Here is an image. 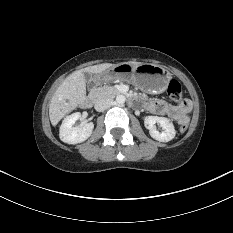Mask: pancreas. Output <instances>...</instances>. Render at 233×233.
<instances>
[{
  "mask_svg": "<svg viewBox=\"0 0 233 233\" xmlns=\"http://www.w3.org/2000/svg\"><path fill=\"white\" fill-rule=\"evenodd\" d=\"M118 94L119 91L117 90V88L110 85H104L91 91V95L96 99L114 98Z\"/></svg>",
  "mask_w": 233,
  "mask_h": 233,
  "instance_id": "1",
  "label": "pancreas"
}]
</instances>
